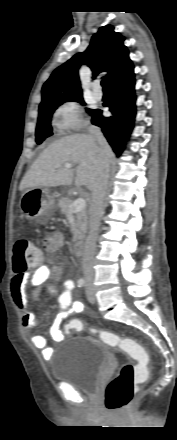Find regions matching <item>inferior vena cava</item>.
<instances>
[{"label":"inferior vena cava","mask_w":177,"mask_h":440,"mask_svg":"<svg viewBox=\"0 0 177 440\" xmlns=\"http://www.w3.org/2000/svg\"><path fill=\"white\" fill-rule=\"evenodd\" d=\"M89 133L97 141L99 152L98 177L92 190V200L89 210V232L85 242L82 258L83 274L86 281L94 277L93 263L96 250V240L100 228V220L105 207L104 200L107 194L109 165L103 157V135L98 127L90 126Z\"/></svg>","instance_id":"1"}]
</instances>
